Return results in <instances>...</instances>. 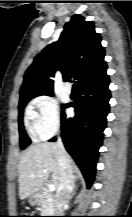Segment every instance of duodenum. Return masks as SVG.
<instances>
[{"mask_svg":"<svg viewBox=\"0 0 132 217\" xmlns=\"http://www.w3.org/2000/svg\"><path fill=\"white\" fill-rule=\"evenodd\" d=\"M45 196H46V192L41 191V192H40V198L42 199V198H44Z\"/></svg>","mask_w":132,"mask_h":217,"instance_id":"1","label":"duodenum"}]
</instances>
